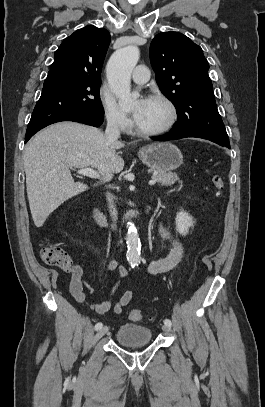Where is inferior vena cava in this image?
<instances>
[{
  "label": "inferior vena cava",
  "mask_w": 265,
  "mask_h": 407,
  "mask_svg": "<svg viewBox=\"0 0 265 407\" xmlns=\"http://www.w3.org/2000/svg\"><path fill=\"white\" fill-rule=\"evenodd\" d=\"M107 139L111 142L116 141L120 137L119 120L115 116L107 117V127L105 130ZM107 199L110 208V214L113 220H117V210L114 206L113 196L107 193Z\"/></svg>",
  "instance_id": "602c4592"
}]
</instances>
